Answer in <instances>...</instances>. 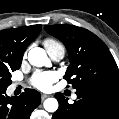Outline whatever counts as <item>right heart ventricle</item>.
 <instances>
[{"label": "right heart ventricle", "mask_w": 119, "mask_h": 119, "mask_svg": "<svg viewBox=\"0 0 119 119\" xmlns=\"http://www.w3.org/2000/svg\"><path fill=\"white\" fill-rule=\"evenodd\" d=\"M44 45H45L46 49H50L55 46H60L61 44L54 39L47 38L44 40Z\"/></svg>", "instance_id": "e07e8e85"}]
</instances>
